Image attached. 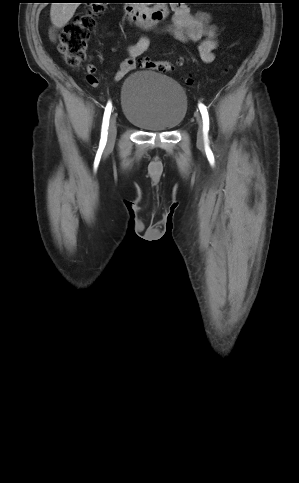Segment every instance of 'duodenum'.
Listing matches in <instances>:
<instances>
[{"instance_id": "1", "label": "duodenum", "mask_w": 299, "mask_h": 483, "mask_svg": "<svg viewBox=\"0 0 299 483\" xmlns=\"http://www.w3.org/2000/svg\"><path fill=\"white\" fill-rule=\"evenodd\" d=\"M169 10L168 4L164 1L152 7H140L135 2H129L125 12L129 22L143 28H150L166 18Z\"/></svg>"}]
</instances>
